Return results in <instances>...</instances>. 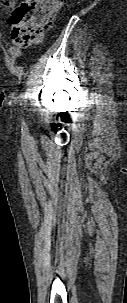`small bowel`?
<instances>
[{
    "instance_id": "c3829d8e",
    "label": "small bowel",
    "mask_w": 127,
    "mask_h": 303,
    "mask_svg": "<svg viewBox=\"0 0 127 303\" xmlns=\"http://www.w3.org/2000/svg\"><path fill=\"white\" fill-rule=\"evenodd\" d=\"M9 52L14 57H18L20 55V51L17 48H10Z\"/></svg>"
}]
</instances>
